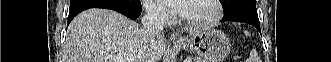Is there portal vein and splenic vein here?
I'll return each instance as SVG.
<instances>
[{"mask_svg": "<svg viewBox=\"0 0 331 62\" xmlns=\"http://www.w3.org/2000/svg\"><path fill=\"white\" fill-rule=\"evenodd\" d=\"M109 59H111V61L113 62H135V58L133 56H130V55H116V56H110ZM189 61L187 62H190L191 61V58H188Z\"/></svg>", "mask_w": 331, "mask_h": 62, "instance_id": "1", "label": "portal vein and splenic vein"}]
</instances>
